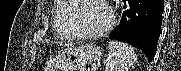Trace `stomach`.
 Masks as SVG:
<instances>
[{"instance_id":"1","label":"stomach","mask_w":181,"mask_h":71,"mask_svg":"<svg viewBox=\"0 0 181 71\" xmlns=\"http://www.w3.org/2000/svg\"><path fill=\"white\" fill-rule=\"evenodd\" d=\"M102 57L99 47L87 44L75 48H66L58 53L49 63L52 71H73L96 62Z\"/></svg>"}]
</instances>
